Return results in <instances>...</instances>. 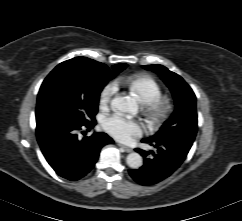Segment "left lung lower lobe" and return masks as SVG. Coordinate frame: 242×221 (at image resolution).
<instances>
[{
  "mask_svg": "<svg viewBox=\"0 0 242 221\" xmlns=\"http://www.w3.org/2000/svg\"><path fill=\"white\" fill-rule=\"evenodd\" d=\"M156 148V151L135 149L144 158L139 169L129 170L130 176L140 185H154L169 177L185 160L192 143L181 139L163 141L142 140Z\"/></svg>",
  "mask_w": 242,
  "mask_h": 221,
  "instance_id": "obj_1",
  "label": "left lung lower lobe"
}]
</instances>
